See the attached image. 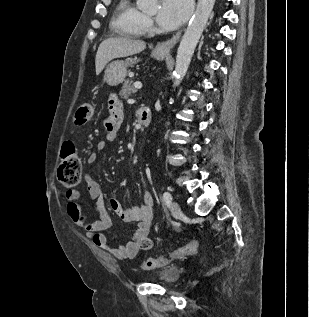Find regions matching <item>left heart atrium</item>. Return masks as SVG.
Masks as SVG:
<instances>
[{
  "label": "left heart atrium",
  "mask_w": 309,
  "mask_h": 317,
  "mask_svg": "<svg viewBox=\"0 0 309 317\" xmlns=\"http://www.w3.org/2000/svg\"><path fill=\"white\" fill-rule=\"evenodd\" d=\"M190 11V0H161L157 22L162 29L173 30L186 20Z\"/></svg>",
  "instance_id": "1"
}]
</instances>
